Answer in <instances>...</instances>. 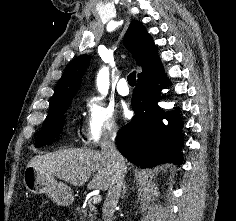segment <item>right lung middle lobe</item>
Segmentation results:
<instances>
[{
  "label": "right lung middle lobe",
  "instance_id": "dd1d6c3e",
  "mask_svg": "<svg viewBox=\"0 0 236 221\" xmlns=\"http://www.w3.org/2000/svg\"><path fill=\"white\" fill-rule=\"evenodd\" d=\"M71 101L65 102L55 109L49 111V115L44 122L42 129L36 138L35 146L42 147L54 142L60 135L67 111Z\"/></svg>",
  "mask_w": 236,
  "mask_h": 221
}]
</instances>
